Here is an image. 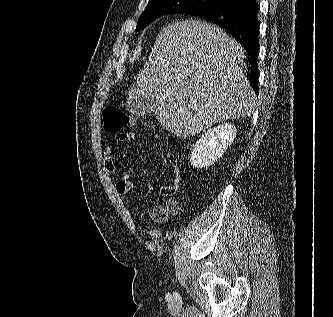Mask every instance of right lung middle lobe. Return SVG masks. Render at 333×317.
<instances>
[{"mask_svg":"<svg viewBox=\"0 0 333 317\" xmlns=\"http://www.w3.org/2000/svg\"><path fill=\"white\" fill-rule=\"evenodd\" d=\"M227 2V0H149L145 11L138 20L136 31L142 30L163 15L175 13L195 15L217 8Z\"/></svg>","mask_w":333,"mask_h":317,"instance_id":"obj_1","label":"right lung middle lobe"}]
</instances>
